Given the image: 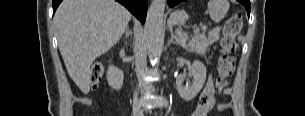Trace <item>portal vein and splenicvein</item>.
Instances as JSON below:
<instances>
[{
    "label": "portal vein and splenic vein",
    "mask_w": 305,
    "mask_h": 116,
    "mask_svg": "<svg viewBox=\"0 0 305 116\" xmlns=\"http://www.w3.org/2000/svg\"><path fill=\"white\" fill-rule=\"evenodd\" d=\"M201 28H202V30H206V29H207V26H206V25H201ZM178 34H179V37H181L180 42H181L182 44H185V43H186V40H187V37L182 36L180 33H178Z\"/></svg>",
    "instance_id": "1"
}]
</instances>
